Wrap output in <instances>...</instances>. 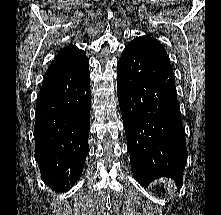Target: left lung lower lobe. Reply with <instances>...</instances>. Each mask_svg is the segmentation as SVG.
<instances>
[{"label":"left lung lower lobe","mask_w":221,"mask_h":215,"mask_svg":"<svg viewBox=\"0 0 221 215\" xmlns=\"http://www.w3.org/2000/svg\"><path fill=\"white\" fill-rule=\"evenodd\" d=\"M117 94L134 178L182 185L187 149L171 67L128 44L118 61Z\"/></svg>","instance_id":"1"}]
</instances>
